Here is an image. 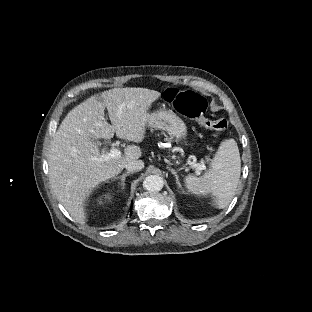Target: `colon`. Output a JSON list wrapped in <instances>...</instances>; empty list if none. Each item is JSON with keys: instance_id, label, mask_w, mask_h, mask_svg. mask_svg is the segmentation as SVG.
Segmentation results:
<instances>
[{"instance_id": "obj_1", "label": "colon", "mask_w": 312, "mask_h": 312, "mask_svg": "<svg viewBox=\"0 0 312 312\" xmlns=\"http://www.w3.org/2000/svg\"><path fill=\"white\" fill-rule=\"evenodd\" d=\"M165 100L168 105L181 114L194 119L201 127L215 131H225L228 128V123L223 118L208 119L204 117L207 103L198 93L173 88L166 93Z\"/></svg>"}]
</instances>
